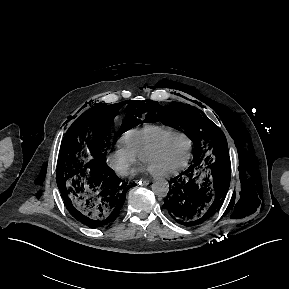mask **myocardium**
I'll return each mask as SVG.
<instances>
[{
  "label": "myocardium",
  "instance_id": "myocardium-1",
  "mask_svg": "<svg viewBox=\"0 0 289 289\" xmlns=\"http://www.w3.org/2000/svg\"><path fill=\"white\" fill-rule=\"evenodd\" d=\"M176 136H180L186 139V141L188 142V153L186 156V159L184 160V162L176 169L172 170V171H168V172H163V173H155V172H151V174L156 177V178H168V177H172V176H176L178 174H180L182 171H184L186 169V167L188 166L190 159L192 157V152H193V145H192V141L191 139L183 132L181 131H174L170 134H167L166 136H164L163 138H161L160 140H158L156 143H154L150 148H148L141 156V160L143 163H145V160L151 156L152 154H154L156 151L159 150V148L170 138L172 137H176Z\"/></svg>",
  "mask_w": 289,
  "mask_h": 289
}]
</instances>
